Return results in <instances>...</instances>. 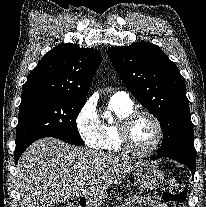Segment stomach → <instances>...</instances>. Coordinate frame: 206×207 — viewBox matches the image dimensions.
<instances>
[{
	"mask_svg": "<svg viewBox=\"0 0 206 207\" xmlns=\"http://www.w3.org/2000/svg\"><path fill=\"white\" fill-rule=\"evenodd\" d=\"M135 179L140 188L152 191L159 188L164 181V174L151 163L141 162L135 171Z\"/></svg>",
	"mask_w": 206,
	"mask_h": 207,
	"instance_id": "stomach-1",
	"label": "stomach"
}]
</instances>
